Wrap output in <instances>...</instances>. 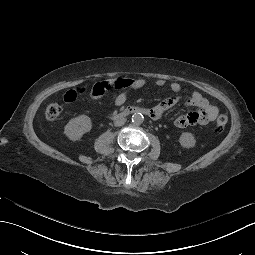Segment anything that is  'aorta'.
Listing matches in <instances>:
<instances>
[{"instance_id": "1", "label": "aorta", "mask_w": 255, "mask_h": 255, "mask_svg": "<svg viewBox=\"0 0 255 255\" xmlns=\"http://www.w3.org/2000/svg\"><path fill=\"white\" fill-rule=\"evenodd\" d=\"M143 120H144V117L141 113H134L132 115V122L135 124V125H140L143 123Z\"/></svg>"}]
</instances>
